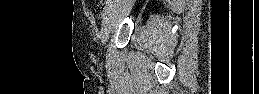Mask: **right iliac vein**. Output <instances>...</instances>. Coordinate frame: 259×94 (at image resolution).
I'll list each match as a JSON object with an SVG mask.
<instances>
[{
	"label": "right iliac vein",
	"instance_id": "63e3f726",
	"mask_svg": "<svg viewBox=\"0 0 259 94\" xmlns=\"http://www.w3.org/2000/svg\"><path fill=\"white\" fill-rule=\"evenodd\" d=\"M112 20H113V5H110L106 8L105 17L103 20L102 29L100 33V39L102 44H105L109 38Z\"/></svg>",
	"mask_w": 259,
	"mask_h": 94
}]
</instances>
